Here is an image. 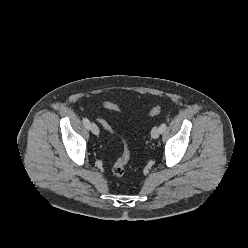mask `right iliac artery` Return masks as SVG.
<instances>
[{
	"instance_id": "1",
	"label": "right iliac artery",
	"mask_w": 248,
	"mask_h": 248,
	"mask_svg": "<svg viewBox=\"0 0 248 248\" xmlns=\"http://www.w3.org/2000/svg\"><path fill=\"white\" fill-rule=\"evenodd\" d=\"M83 124L87 129L90 128V121L87 118H83Z\"/></svg>"
}]
</instances>
